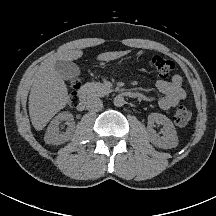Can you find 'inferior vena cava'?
<instances>
[{
	"label": "inferior vena cava",
	"instance_id": "inferior-vena-cava-1",
	"mask_svg": "<svg viewBox=\"0 0 216 216\" xmlns=\"http://www.w3.org/2000/svg\"><path fill=\"white\" fill-rule=\"evenodd\" d=\"M103 108V102L100 98H91L87 101V109L89 111L98 112Z\"/></svg>",
	"mask_w": 216,
	"mask_h": 216
}]
</instances>
